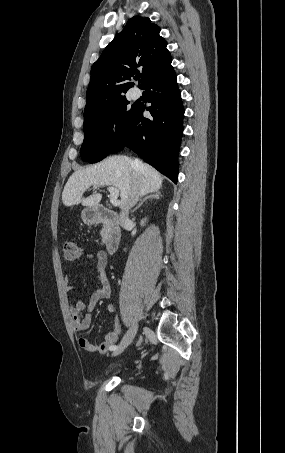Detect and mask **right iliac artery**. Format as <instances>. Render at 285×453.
Wrapping results in <instances>:
<instances>
[{"instance_id": "82829eb1", "label": "right iliac artery", "mask_w": 285, "mask_h": 453, "mask_svg": "<svg viewBox=\"0 0 285 453\" xmlns=\"http://www.w3.org/2000/svg\"><path fill=\"white\" fill-rule=\"evenodd\" d=\"M117 348H118V346H113V347L110 348V350L114 351V350H116Z\"/></svg>"}]
</instances>
